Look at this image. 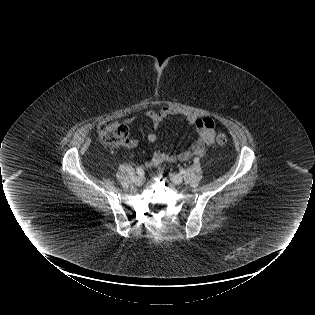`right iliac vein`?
Returning <instances> with one entry per match:
<instances>
[{
    "label": "right iliac vein",
    "mask_w": 315,
    "mask_h": 315,
    "mask_svg": "<svg viewBox=\"0 0 315 315\" xmlns=\"http://www.w3.org/2000/svg\"><path fill=\"white\" fill-rule=\"evenodd\" d=\"M143 183H144V177H142V176L136 177V179H135V184H136L137 186H141V185H143Z\"/></svg>",
    "instance_id": "right-iliac-vein-1"
}]
</instances>
